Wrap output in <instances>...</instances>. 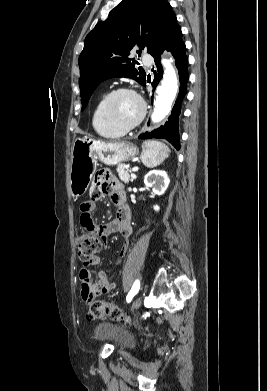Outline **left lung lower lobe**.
I'll return each instance as SVG.
<instances>
[{"label": "left lung lower lobe", "mask_w": 267, "mask_h": 391, "mask_svg": "<svg viewBox=\"0 0 267 391\" xmlns=\"http://www.w3.org/2000/svg\"><path fill=\"white\" fill-rule=\"evenodd\" d=\"M164 50L172 53L175 58V64L179 72L180 88L176 103L172 109L171 115L164 126L152 131L151 133H144L139 135V138H160L169 141L177 150L180 149L179 137V115L181 112V103L186 94V86L188 82V58L185 53V44L182 40V33L179 25L175 26L166 39L153 49L151 55L155 60L154 80L151 83L156 87L163 76L162 65L160 63V55ZM149 82V81H147ZM146 86V83L145 85Z\"/></svg>", "instance_id": "left-lung-lower-lobe-1"}]
</instances>
